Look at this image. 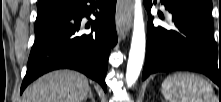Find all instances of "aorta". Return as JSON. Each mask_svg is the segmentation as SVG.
Returning a JSON list of instances; mask_svg holds the SVG:
<instances>
[{
	"mask_svg": "<svg viewBox=\"0 0 221 102\" xmlns=\"http://www.w3.org/2000/svg\"><path fill=\"white\" fill-rule=\"evenodd\" d=\"M145 44L142 4L141 0H135L134 28L126 70V83L128 87L133 86L140 75L145 56Z\"/></svg>",
	"mask_w": 221,
	"mask_h": 102,
	"instance_id": "1",
	"label": "aorta"
}]
</instances>
